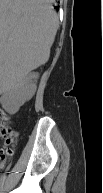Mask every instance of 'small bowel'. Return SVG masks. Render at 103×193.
Returning a JSON list of instances; mask_svg holds the SVG:
<instances>
[{
  "instance_id": "c3829d8e",
  "label": "small bowel",
  "mask_w": 103,
  "mask_h": 193,
  "mask_svg": "<svg viewBox=\"0 0 103 193\" xmlns=\"http://www.w3.org/2000/svg\"><path fill=\"white\" fill-rule=\"evenodd\" d=\"M13 135H14V138H15V134L14 133H13ZM10 153H11V151L8 150V149H4V150L1 151L2 157H5L6 155H9Z\"/></svg>"
}]
</instances>
